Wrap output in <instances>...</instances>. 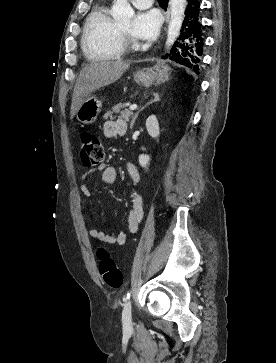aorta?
<instances>
[{
  "label": "aorta",
  "instance_id": "1",
  "mask_svg": "<svg viewBox=\"0 0 276 363\" xmlns=\"http://www.w3.org/2000/svg\"><path fill=\"white\" fill-rule=\"evenodd\" d=\"M186 0H170L171 17L168 25L166 48H171L180 35L184 20ZM111 15L115 21L128 23L134 15V10L127 0H114Z\"/></svg>",
  "mask_w": 276,
  "mask_h": 363
}]
</instances>
